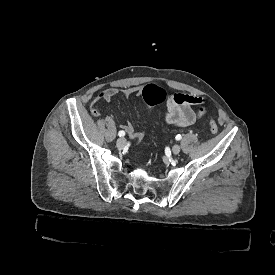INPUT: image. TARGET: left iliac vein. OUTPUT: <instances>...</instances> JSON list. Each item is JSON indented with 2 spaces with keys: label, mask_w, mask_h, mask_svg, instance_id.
<instances>
[{
  "label": "left iliac vein",
  "mask_w": 275,
  "mask_h": 275,
  "mask_svg": "<svg viewBox=\"0 0 275 275\" xmlns=\"http://www.w3.org/2000/svg\"><path fill=\"white\" fill-rule=\"evenodd\" d=\"M180 150H181V147H180V145H178V144H175V145L172 147V152H173L174 154H178V153L180 152Z\"/></svg>",
  "instance_id": "left-iliac-vein-1"
}]
</instances>
